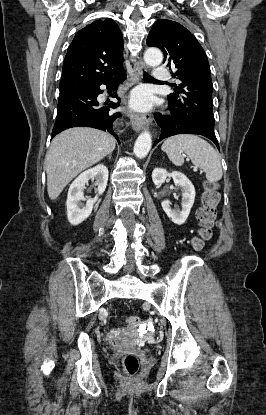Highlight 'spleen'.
<instances>
[{
	"label": "spleen",
	"instance_id": "1",
	"mask_svg": "<svg viewBox=\"0 0 266 415\" xmlns=\"http://www.w3.org/2000/svg\"><path fill=\"white\" fill-rule=\"evenodd\" d=\"M161 149L176 166L184 164V156L181 154L184 152L195 166L205 172L206 179L211 183L222 178L219 154L207 141L198 136L182 134L170 137L165 140Z\"/></svg>",
	"mask_w": 266,
	"mask_h": 415
}]
</instances>
